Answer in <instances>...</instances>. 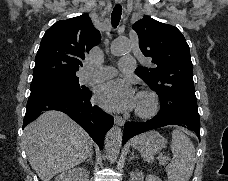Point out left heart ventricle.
Wrapping results in <instances>:
<instances>
[{"label":"left heart ventricle","instance_id":"left-heart-ventricle-1","mask_svg":"<svg viewBox=\"0 0 228 181\" xmlns=\"http://www.w3.org/2000/svg\"><path fill=\"white\" fill-rule=\"evenodd\" d=\"M141 104H142V106L145 107L147 105V101L146 100H142Z\"/></svg>","mask_w":228,"mask_h":181}]
</instances>
